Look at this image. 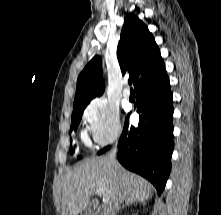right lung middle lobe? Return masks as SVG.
<instances>
[{
	"mask_svg": "<svg viewBox=\"0 0 221 215\" xmlns=\"http://www.w3.org/2000/svg\"><path fill=\"white\" fill-rule=\"evenodd\" d=\"M88 103H84V104H79V105H74L73 106V113H72V120H71V129L70 131H72L73 129H77L81 118H82V114H83V110L85 109V107L87 106ZM74 151L71 150V154H73ZM80 158V157H79Z\"/></svg>",
	"mask_w": 221,
	"mask_h": 215,
	"instance_id": "dd1d6c3e",
	"label": "right lung middle lobe"
}]
</instances>
